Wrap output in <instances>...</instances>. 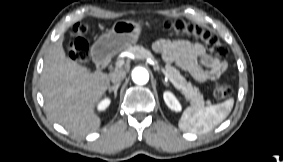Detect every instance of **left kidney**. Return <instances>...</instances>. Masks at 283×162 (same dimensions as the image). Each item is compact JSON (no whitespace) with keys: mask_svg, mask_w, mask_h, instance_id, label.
<instances>
[{"mask_svg":"<svg viewBox=\"0 0 283 162\" xmlns=\"http://www.w3.org/2000/svg\"><path fill=\"white\" fill-rule=\"evenodd\" d=\"M164 101L166 105L173 111L179 112L181 111V105L176 97L169 91L164 92L163 94Z\"/></svg>","mask_w":283,"mask_h":162,"instance_id":"1","label":"left kidney"}]
</instances>
